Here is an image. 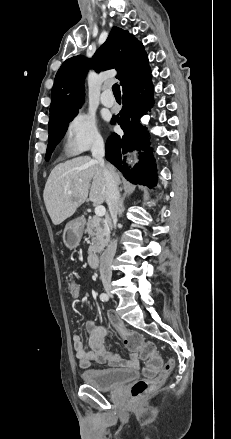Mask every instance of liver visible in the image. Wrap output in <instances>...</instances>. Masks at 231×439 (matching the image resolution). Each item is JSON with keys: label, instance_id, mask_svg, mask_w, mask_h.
<instances>
[{"label": "liver", "instance_id": "1", "mask_svg": "<svg viewBox=\"0 0 231 439\" xmlns=\"http://www.w3.org/2000/svg\"><path fill=\"white\" fill-rule=\"evenodd\" d=\"M114 172L119 179L115 169ZM68 191L72 193L68 194ZM88 195L89 200L96 205L106 201L103 168L97 160L89 156H80L55 166L43 193L52 223L59 225L71 217L87 200Z\"/></svg>", "mask_w": 231, "mask_h": 439}]
</instances>
